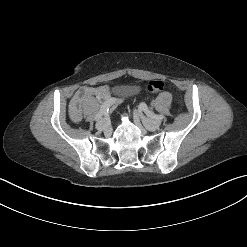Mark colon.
I'll return each instance as SVG.
<instances>
[{"label": "colon", "instance_id": "5ec220e1", "mask_svg": "<svg viewBox=\"0 0 247 247\" xmlns=\"http://www.w3.org/2000/svg\"><path fill=\"white\" fill-rule=\"evenodd\" d=\"M147 88L151 93H158L164 89V83L159 80H153L148 83Z\"/></svg>", "mask_w": 247, "mask_h": 247}]
</instances>
